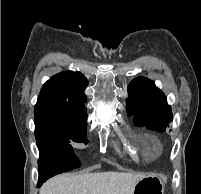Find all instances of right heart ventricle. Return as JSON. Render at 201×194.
Masks as SVG:
<instances>
[{
  "instance_id": "right-heart-ventricle-1",
  "label": "right heart ventricle",
  "mask_w": 201,
  "mask_h": 194,
  "mask_svg": "<svg viewBox=\"0 0 201 194\" xmlns=\"http://www.w3.org/2000/svg\"><path fill=\"white\" fill-rule=\"evenodd\" d=\"M143 144L145 145V147L147 148V149H151V145H150V143L147 141V140H144L143 141Z\"/></svg>"
}]
</instances>
